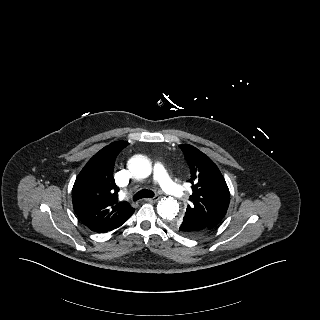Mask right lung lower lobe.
<instances>
[{
  "label": "right lung lower lobe",
  "mask_w": 320,
  "mask_h": 320,
  "mask_svg": "<svg viewBox=\"0 0 320 320\" xmlns=\"http://www.w3.org/2000/svg\"><path fill=\"white\" fill-rule=\"evenodd\" d=\"M121 225H122V224H121ZM121 225H119V226H117V227L109 228V229H107V230H105V231H103V232L111 231V230H113V229H116V228L120 227Z\"/></svg>",
  "instance_id": "1"
}]
</instances>
